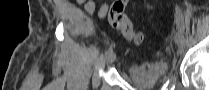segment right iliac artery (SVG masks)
<instances>
[{
	"label": "right iliac artery",
	"instance_id": "1",
	"mask_svg": "<svg viewBox=\"0 0 209 90\" xmlns=\"http://www.w3.org/2000/svg\"><path fill=\"white\" fill-rule=\"evenodd\" d=\"M113 52L112 47H109L105 53V56L108 57Z\"/></svg>",
	"mask_w": 209,
	"mask_h": 90
}]
</instances>
